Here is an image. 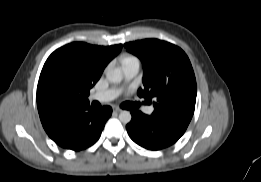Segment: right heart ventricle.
<instances>
[{"instance_id": "e07e8e85", "label": "right heart ventricle", "mask_w": 261, "mask_h": 182, "mask_svg": "<svg viewBox=\"0 0 261 182\" xmlns=\"http://www.w3.org/2000/svg\"><path fill=\"white\" fill-rule=\"evenodd\" d=\"M134 61H138V59L136 57L132 56V55H125L122 58V65H125L127 63L134 62Z\"/></svg>"}]
</instances>
